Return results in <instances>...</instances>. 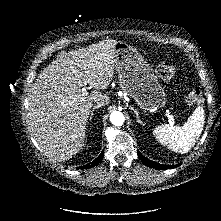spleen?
Instances as JSON below:
<instances>
[{
    "label": "spleen",
    "mask_w": 221,
    "mask_h": 221,
    "mask_svg": "<svg viewBox=\"0 0 221 221\" xmlns=\"http://www.w3.org/2000/svg\"><path fill=\"white\" fill-rule=\"evenodd\" d=\"M204 110L198 107L181 127L162 124L153 130L157 140L175 152L186 153L197 142L204 126Z\"/></svg>",
    "instance_id": "1"
}]
</instances>
